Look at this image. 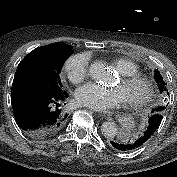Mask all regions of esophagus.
Masks as SVG:
<instances>
[{
    "mask_svg": "<svg viewBox=\"0 0 177 177\" xmlns=\"http://www.w3.org/2000/svg\"><path fill=\"white\" fill-rule=\"evenodd\" d=\"M111 116H112V113H111L110 111H106V112H103V113L101 114V117H102L103 119L110 118Z\"/></svg>",
    "mask_w": 177,
    "mask_h": 177,
    "instance_id": "1",
    "label": "esophagus"
}]
</instances>
